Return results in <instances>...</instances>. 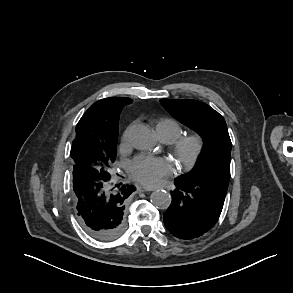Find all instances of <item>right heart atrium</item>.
<instances>
[{
  "label": "right heart atrium",
  "mask_w": 293,
  "mask_h": 293,
  "mask_svg": "<svg viewBox=\"0 0 293 293\" xmlns=\"http://www.w3.org/2000/svg\"><path fill=\"white\" fill-rule=\"evenodd\" d=\"M129 130H130V127H128L122 137H121V147L124 148L126 145H127V142H128V135H129Z\"/></svg>",
  "instance_id": "obj_1"
}]
</instances>
